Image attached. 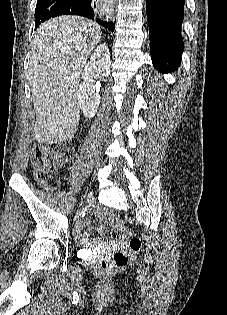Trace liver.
I'll return each instance as SVG.
<instances>
[{
  "label": "liver",
  "mask_w": 227,
  "mask_h": 315,
  "mask_svg": "<svg viewBox=\"0 0 227 315\" xmlns=\"http://www.w3.org/2000/svg\"><path fill=\"white\" fill-rule=\"evenodd\" d=\"M100 39V26L79 16L56 17L37 29L29 63V83L38 143L63 142L77 131L80 78Z\"/></svg>",
  "instance_id": "liver-1"
}]
</instances>
